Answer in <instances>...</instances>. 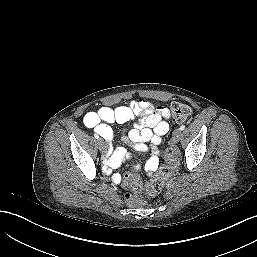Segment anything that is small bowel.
Instances as JSON below:
<instances>
[{
  "instance_id": "c3829d8e",
  "label": "small bowel",
  "mask_w": 257,
  "mask_h": 257,
  "mask_svg": "<svg viewBox=\"0 0 257 257\" xmlns=\"http://www.w3.org/2000/svg\"><path fill=\"white\" fill-rule=\"evenodd\" d=\"M135 117H138V120L122 139L125 143L133 144L136 150L148 153L145 169L151 173L159 165V151L155 145L161 142L162 136L169 130L166 120L170 118V112L166 107H154L146 99L132 100L119 107L102 106L97 111L87 112L84 116V124L111 144L113 131L110 124L124 123ZM149 144L152 145L151 148L148 147ZM110 154L105 161L109 169L118 167L129 157V154L121 147H117ZM112 179L115 183L121 181L118 174H113ZM129 203L131 204L132 201Z\"/></svg>"
}]
</instances>
